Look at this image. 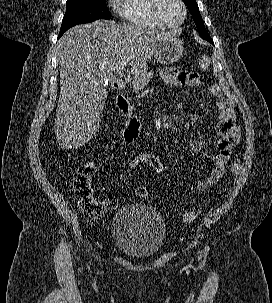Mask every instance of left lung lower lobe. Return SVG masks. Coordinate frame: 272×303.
I'll return each instance as SVG.
<instances>
[{
    "label": "left lung lower lobe",
    "instance_id": "obj_1",
    "mask_svg": "<svg viewBox=\"0 0 272 303\" xmlns=\"http://www.w3.org/2000/svg\"><path fill=\"white\" fill-rule=\"evenodd\" d=\"M209 42L213 44V40H211V41H209Z\"/></svg>",
    "mask_w": 272,
    "mask_h": 303
}]
</instances>
